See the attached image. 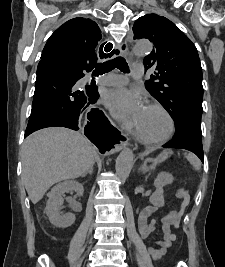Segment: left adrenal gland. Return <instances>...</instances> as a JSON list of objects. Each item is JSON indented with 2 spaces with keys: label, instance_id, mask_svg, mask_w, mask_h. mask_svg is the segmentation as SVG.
<instances>
[{
  "label": "left adrenal gland",
  "instance_id": "left-adrenal-gland-1",
  "mask_svg": "<svg viewBox=\"0 0 225 267\" xmlns=\"http://www.w3.org/2000/svg\"><path fill=\"white\" fill-rule=\"evenodd\" d=\"M148 166H147V162L146 161H144L143 162V164H142V166H141V168H140V170L143 172V173H146L147 171H148Z\"/></svg>",
  "mask_w": 225,
  "mask_h": 267
}]
</instances>
